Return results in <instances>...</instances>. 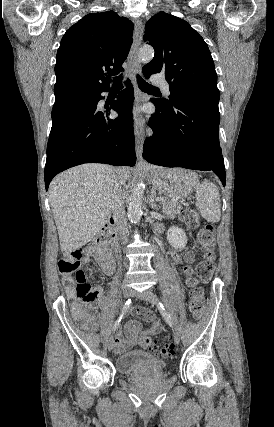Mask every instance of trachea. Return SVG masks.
<instances>
[{
	"label": "trachea",
	"mask_w": 274,
	"mask_h": 427,
	"mask_svg": "<svg viewBox=\"0 0 274 427\" xmlns=\"http://www.w3.org/2000/svg\"><path fill=\"white\" fill-rule=\"evenodd\" d=\"M121 80L122 77H116L115 78V82L113 84V88H123L122 84H121ZM137 81L139 84V88L144 91V92H148L150 90H159L157 87H153V85H150L149 83L145 82V80H143V78H141L139 75H137Z\"/></svg>",
	"instance_id": "3493384b"
}]
</instances>
